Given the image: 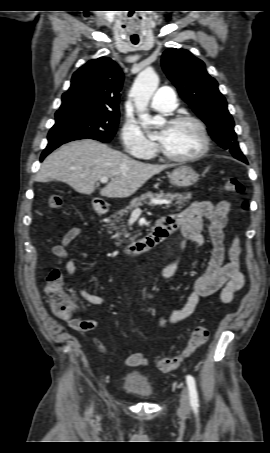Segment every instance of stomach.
I'll use <instances>...</instances> for the list:
<instances>
[{
    "label": "stomach",
    "mask_w": 270,
    "mask_h": 453,
    "mask_svg": "<svg viewBox=\"0 0 270 453\" xmlns=\"http://www.w3.org/2000/svg\"><path fill=\"white\" fill-rule=\"evenodd\" d=\"M199 175L189 166H180L173 170L170 175V183L179 188H186L194 185Z\"/></svg>",
    "instance_id": "0dacf381"
}]
</instances>
